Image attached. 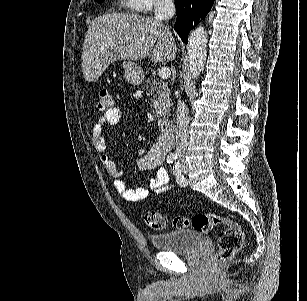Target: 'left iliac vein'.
I'll list each match as a JSON object with an SVG mask.
<instances>
[{"mask_svg": "<svg viewBox=\"0 0 307 301\" xmlns=\"http://www.w3.org/2000/svg\"><path fill=\"white\" fill-rule=\"evenodd\" d=\"M181 171L183 172V174H187L188 173V167L186 163H183Z\"/></svg>", "mask_w": 307, "mask_h": 301, "instance_id": "4c4485c4", "label": "left iliac vein"}]
</instances>
